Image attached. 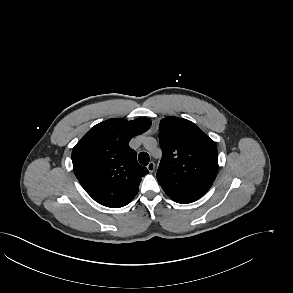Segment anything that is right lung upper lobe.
<instances>
[{"mask_svg": "<svg viewBox=\"0 0 293 293\" xmlns=\"http://www.w3.org/2000/svg\"><path fill=\"white\" fill-rule=\"evenodd\" d=\"M150 126L148 118H112L92 127L73 148L74 173L95 201L119 208L134 199L148 170L138 164L129 141Z\"/></svg>", "mask_w": 293, "mask_h": 293, "instance_id": "right-lung-upper-lobe-1", "label": "right lung upper lobe"}]
</instances>
